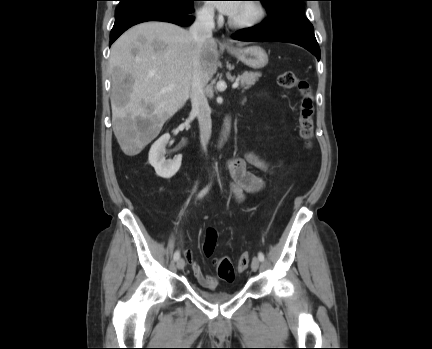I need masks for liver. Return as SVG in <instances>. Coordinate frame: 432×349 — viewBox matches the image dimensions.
I'll return each instance as SVG.
<instances>
[{
    "mask_svg": "<svg viewBox=\"0 0 432 349\" xmlns=\"http://www.w3.org/2000/svg\"><path fill=\"white\" fill-rule=\"evenodd\" d=\"M195 59L207 82L219 64L216 41L209 39L198 46L188 30L171 23L136 25L113 43L109 58L112 125L125 155L139 154L184 106Z\"/></svg>",
    "mask_w": 432,
    "mask_h": 349,
    "instance_id": "1",
    "label": "liver"
}]
</instances>
